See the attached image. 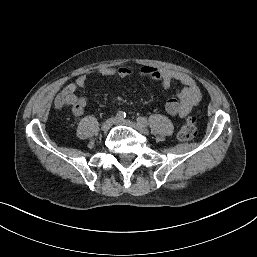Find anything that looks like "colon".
Instances as JSON below:
<instances>
[{
    "instance_id": "colon-1",
    "label": "colon",
    "mask_w": 257,
    "mask_h": 257,
    "mask_svg": "<svg viewBox=\"0 0 257 257\" xmlns=\"http://www.w3.org/2000/svg\"><path fill=\"white\" fill-rule=\"evenodd\" d=\"M59 106H71L76 107L75 100L70 94H61L57 100ZM197 134V120L195 117H189L180 128L177 138L180 141L186 142L192 140Z\"/></svg>"
}]
</instances>
